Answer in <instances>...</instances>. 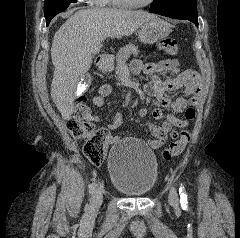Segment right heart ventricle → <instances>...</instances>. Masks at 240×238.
I'll return each instance as SVG.
<instances>
[{"label": "right heart ventricle", "mask_w": 240, "mask_h": 238, "mask_svg": "<svg viewBox=\"0 0 240 238\" xmlns=\"http://www.w3.org/2000/svg\"><path fill=\"white\" fill-rule=\"evenodd\" d=\"M102 5H116L114 0H106Z\"/></svg>", "instance_id": "right-heart-ventricle-1"}]
</instances>
